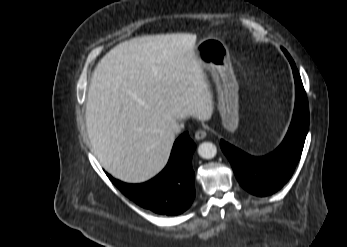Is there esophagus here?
<instances>
[{"label": "esophagus", "instance_id": "obj_1", "mask_svg": "<svg viewBox=\"0 0 347 247\" xmlns=\"http://www.w3.org/2000/svg\"><path fill=\"white\" fill-rule=\"evenodd\" d=\"M207 136V132L205 130H197L195 132V139L202 140Z\"/></svg>", "mask_w": 347, "mask_h": 247}]
</instances>
